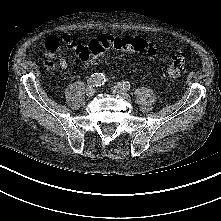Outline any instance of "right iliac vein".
<instances>
[{"label": "right iliac vein", "mask_w": 221, "mask_h": 221, "mask_svg": "<svg viewBox=\"0 0 221 221\" xmlns=\"http://www.w3.org/2000/svg\"><path fill=\"white\" fill-rule=\"evenodd\" d=\"M95 92H96V90H95V88H93V87H88V88L86 89V95H87L88 97H92V96L95 94Z\"/></svg>", "instance_id": "1"}]
</instances>
